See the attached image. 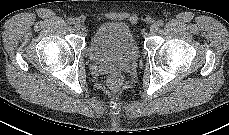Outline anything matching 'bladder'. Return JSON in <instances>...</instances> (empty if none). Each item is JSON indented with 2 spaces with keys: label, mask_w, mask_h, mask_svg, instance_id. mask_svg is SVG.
Instances as JSON below:
<instances>
[{
  "label": "bladder",
  "mask_w": 229,
  "mask_h": 135,
  "mask_svg": "<svg viewBox=\"0 0 229 135\" xmlns=\"http://www.w3.org/2000/svg\"><path fill=\"white\" fill-rule=\"evenodd\" d=\"M88 52L95 61H135L139 56V48L131 30L121 22L100 25L90 38Z\"/></svg>",
  "instance_id": "31cf9c89"
}]
</instances>
